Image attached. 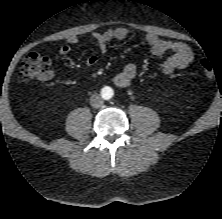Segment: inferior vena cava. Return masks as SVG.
Listing matches in <instances>:
<instances>
[{
	"label": "inferior vena cava",
	"instance_id": "602c4592",
	"mask_svg": "<svg viewBox=\"0 0 222 219\" xmlns=\"http://www.w3.org/2000/svg\"><path fill=\"white\" fill-rule=\"evenodd\" d=\"M103 99L102 97L99 95V94H93L91 97H90V104L92 107L94 108H99L103 105Z\"/></svg>",
	"mask_w": 222,
	"mask_h": 219
}]
</instances>
